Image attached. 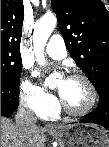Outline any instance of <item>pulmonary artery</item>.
I'll use <instances>...</instances> for the list:
<instances>
[{
  "label": "pulmonary artery",
  "instance_id": "e3ab8cb5",
  "mask_svg": "<svg viewBox=\"0 0 109 147\" xmlns=\"http://www.w3.org/2000/svg\"><path fill=\"white\" fill-rule=\"evenodd\" d=\"M46 54L54 60H62L67 56V49L61 35H53L45 48ZM45 119L44 116H41Z\"/></svg>",
  "mask_w": 109,
  "mask_h": 147
}]
</instances>
